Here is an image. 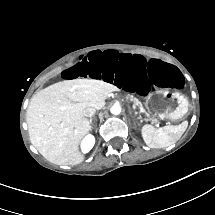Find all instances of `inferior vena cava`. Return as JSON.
Wrapping results in <instances>:
<instances>
[{
    "label": "inferior vena cava",
    "mask_w": 215,
    "mask_h": 215,
    "mask_svg": "<svg viewBox=\"0 0 215 215\" xmlns=\"http://www.w3.org/2000/svg\"><path fill=\"white\" fill-rule=\"evenodd\" d=\"M95 112H96V109L93 107H86L85 109H83V115L85 117H92L94 116Z\"/></svg>",
    "instance_id": "1"
}]
</instances>
